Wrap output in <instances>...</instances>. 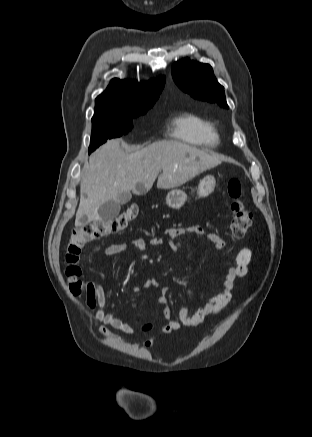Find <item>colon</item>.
I'll use <instances>...</instances> for the list:
<instances>
[{
  "mask_svg": "<svg viewBox=\"0 0 312 437\" xmlns=\"http://www.w3.org/2000/svg\"><path fill=\"white\" fill-rule=\"evenodd\" d=\"M228 196L231 199L232 222L231 231L235 238L244 237L251 228L252 216L243 200L241 181L232 178L227 186ZM136 204L128 205L117 216L103 220L91 221L76 228L70 235L64 253L66 262L65 274L70 293L73 296H82L88 287V282L82 278V269L79 265L83 248L90 242L123 230L138 215Z\"/></svg>",
  "mask_w": 312,
  "mask_h": 437,
  "instance_id": "obj_1",
  "label": "colon"
}]
</instances>
